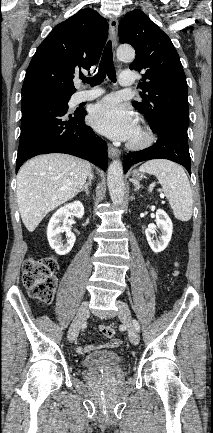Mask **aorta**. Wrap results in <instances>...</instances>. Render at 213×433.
<instances>
[{
    "label": "aorta",
    "mask_w": 213,
    "mask_h": 433,
    "mask_svg": "<svg viewBox=\"0 0 213 433\" xmlns=\"http://www.w3.org/2000/svg\"><path fill=\"white\" fill-rule=\"evenodd\" d=\"M135 51L131 46H120L117 49V58L120 61L134 59ZM107 185L113 204L120 205L125 194V184L123 178V167L119 160L113 161L108 168Z\"/></svg>",
    "instance_id": "762f6f07"
}]
</instances>
